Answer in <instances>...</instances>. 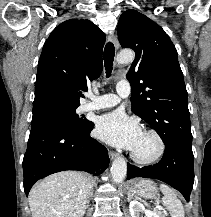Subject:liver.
I'll return each mask as SVG.
<instances>
[{"label":"liver","instance_id":"1","mask_svg":"<svg viewBox=\"0 0 211 217\" xmlns=\"http://www.w3.org/2000/svg\"><path fill=\"white\" fill-rule=\"evenodd\" d=\"M92 189L91 180L84 173L52 174L29 193L32 217H83Z\"/></svg>","mask_w":211,"mask_h":217}]
</instances>
